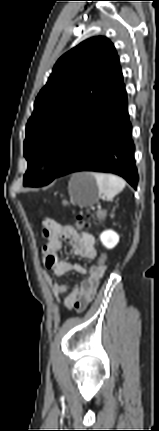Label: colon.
Here are the masks:
<instances>
[{"instance_id": "obj_1", "label": "colon", "mask_w": 159, "mask_h": 431, "mask_svg": "<svg viewBox=\"0 0 159 431\" xmlns=\"http://www.w3.org/2000/svg\"><path fill=\"white\" fill-rule=\"evenodd\" d=\"M99 217H100L99 213H95L92 215V218L95 222L98 221ZM76 224H77L78 228L83 229V228L87 227L90 224V222H89L88 218H86V219H78L77 218ZM109 254H110L109 251H107V250L104 251V253L100 254V259H99V261H97V263H105L106 261L110 260L111 257Z\"/></svg>"}]
</instances>
